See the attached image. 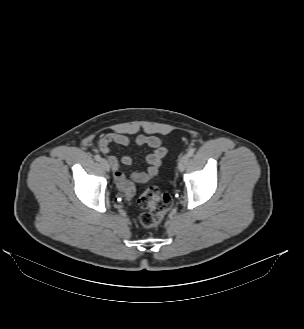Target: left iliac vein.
<instances>
[{"instance_id": "obj_1", "label": "left iliac vein", "mask_w": 304, "mask_h": 329, "mask_svg": "<svg viewBox=\"0 0 304 329\" xmlns=\"http://www.w3.org/2000/svg\"><path fill=\"white\" fill-rule=\"evenodd\" d=\"M189 161V156L188 154H184L183 156H181L179 163H178V168L180 172H183L184 169L186 168L187 164Z\"/></svg>"}]
</instances>
